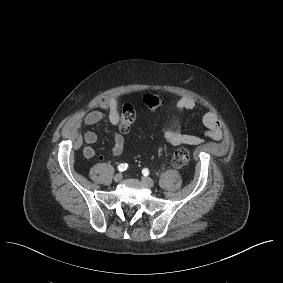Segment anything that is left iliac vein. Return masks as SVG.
Returning <instances> with one entry per match:
<instances>
[{"instance_id":"4c4485c4","label":"left iliac vein","mask_w":283,"mask_h":283,"mask_svg":"<svg viewBox=\"0 0 283 283\" xmlns=\"http://www.w3.org/2000/svg\"><path fill=\"white\" fill-rule=\"evenodd\" d=\"M141 180H142V182H143L144 184H146L148 187H153V186H154V181H153L151 178H149V177L143 176V177L141 178Z\"/></svg>"}]
</instances>
